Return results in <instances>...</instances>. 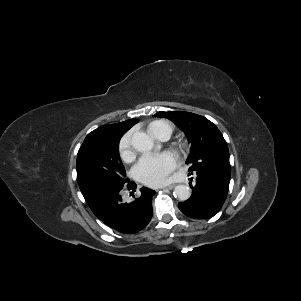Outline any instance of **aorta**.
I'll return each mask as SVG.
<instances>
[{
    "label": "aorta",
    "mask_w": 301,
    "mask_h": 301,
    "mask_svg": "<svg viewBox=\"0 0 301 301\" xmlns=\"http://www.w3.org/2000/svg\"><path fill=\"white\" fill-rule=\"evenodd\" d=\"M132 145L137 151L146 152L153 148L154 143L152 138L146 133L136 132L132 136ZM173 194L180 201H185L189 199L191 191L188 186L180 184L175 187Z\"/></svg>",
    "instance_id": "1"
}]
</instances>
